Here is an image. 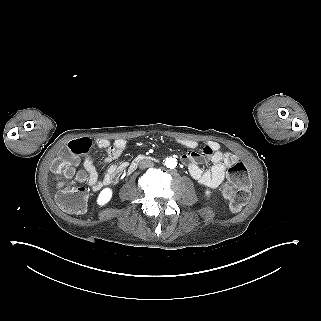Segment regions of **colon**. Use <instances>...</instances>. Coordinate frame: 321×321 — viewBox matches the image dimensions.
Segmentation results:
<instances>
[{"label": "colon", "mask_w": 321, "mask_h": 321, "mask_svg": "<svg viewBox=\"0 0 321 321\" xmlns=\"http://www.w3.org/2000/svg\"><path fill=\"white\" fill-rule=\"evenodd\" d=\"M92 141L80 138L71 141L60 152L52 164L55 180L60 188L57 201L60 207L71 214L85 212L88 194L81 186L85 180V171L79 166L83 156L91 154ZM228 184L225 195L232 212H238L247 203L250 196V178L243 162L232 164L227 173Z\"/></svg>", "instance_id": "obj_1"}]
</instances>
